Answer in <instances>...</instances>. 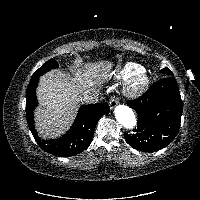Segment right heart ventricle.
Here are the masks:
<instances>
[{"label": "right heart ventricle", "instance_id": "e07e8e85", "mask_svg": "<svg viewBox=\"0 0 200 200\" xmlns=\"http://www.w3.org/2000/svg\"><path fill=\"white\" fill-rule=\"evenodd\" d=\"M144 70V67L135 62H125L118 66L112 73L111 76L115 81L124 82L134 74Z\"/></svg>", "mask_w": 200, "mask_h": 200}]
</instances>
